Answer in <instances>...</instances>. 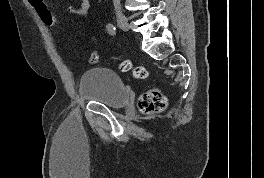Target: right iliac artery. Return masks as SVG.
I'll use <instances>...</instances> for the list:
<instances>
[{"mask_svg":"<svg viewBox=\"0 0 264 178\" xmlns=\"http://www.w3.org/2000/svg\"><path fill=\"white\" fill-rule=\"evenodd\" d=\"M106 29H107V32L110 34V35H115L116 34V28L113 24H108L106 26Z\"/></svg>","mask_w":264,"mask_h":178,"instance_id":"1","label":"right iliac artery"}]
</instances>
